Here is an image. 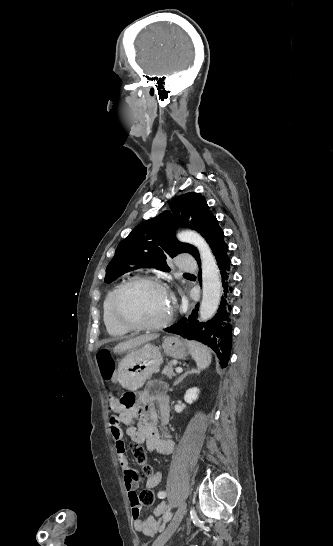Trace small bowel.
<instances>
[{"mask_svg": "<svg viewBox=\"0 0 333 546\" xmlns=\"http://www.w3.org/2000/svg\"><path fill=\"white\" fill-rule=\"evenodd\" d=\"M119 372L113 370L110 379L117 381ZM138 404L127 407L116 402L111 403V409L116 414L110 418V432L114 440L118 463L123 471L124 486L128 493L131 507V516L134 529L145 535L156 534L163 524L169 521L170 507L162 502L154 510L153 515L141 518V506L138 502L139 473L131 467L127 456L123 427L126 434L135 444L144 445L148 452L156 451L159 455H169L174 449V441L168 431L169 398L167 385L160 381L150 382L146 388L137 395ZM155 404L158 409L155 408ZM160 482V474L154 473L147 479L149 488L156 487ZM163 498V492L159 493Z\"/></svg>", "mask_w": 333, "mask_h": 546, "instance_id": "obj_1", "label": "small bowel"}]
</instances>
